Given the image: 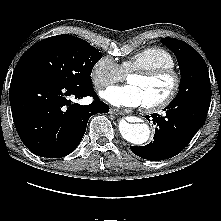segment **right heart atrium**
Listing matches in <instances>:
<instances>
[{"label":"right heart atrium","mask_w":221,"mask_h":221,"mask_svg":"<svg viewBox=\"0 0 221 221\" xmlns=\"http://www.w3.org/2000/svg\"><path fill=\"white\" fill-rule=\"evenodd\" d=\"M93 85L100 89L124 79V73L110 56H101L90 70Z\"/></svg>","instance_id":"1"}]
</instances>
